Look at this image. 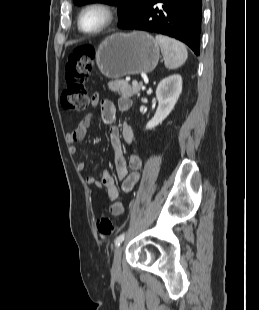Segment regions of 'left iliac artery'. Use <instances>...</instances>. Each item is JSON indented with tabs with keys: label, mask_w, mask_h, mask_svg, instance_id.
Returning <instances> with one entry per match:
<instances>
[{
	"label": "left iliac artery",
	"mask_w": 259,
	"mask_h": 310,
	"mask_svg": "<svg viewBox=\"0 0 259 310\" xmlns=\"http://www.w3.org/2000/svg\"><path fill=\"white\" fill-rule=\"evenodd\" d=\"M124 237H125V234H124V233L121 234V235H119V236L116 238V240H115V246H119V245L122 243V241L124 240Z\"/></svg>",
	"instance_id": "obj_1"
}]
</instances>
